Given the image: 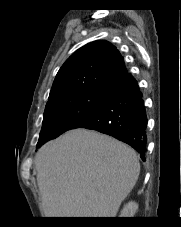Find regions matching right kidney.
Segmentation results:
<instances>
[{"instance_id":"ca27d5eb","label":"right kidney","mask_w":181,"mask_h":227,"mask_svg":"<svg viewBox=\"0 0 181 227\" xmlns=\"http://www.w3.org/2000/svg\"><path fill=\"white\" fill-rule=\"evenodd\" d=\"M138 209V204L135 202H129L124 206L121 211L120 217H134L135 212Z\"/></svg>"}]
</instances>
